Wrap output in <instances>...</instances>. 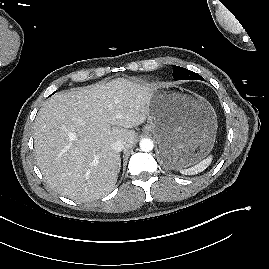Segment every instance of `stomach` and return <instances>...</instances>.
Instances as JSON below:
<instances>
[{
	"label": "stomach",
	"mask_w": 269,
	"mask_h": 269,
	"mask_svg": "<svg viewBox=\"0 0 269 269\" xmlns=\"http://www.w3.org/2000/svg\"><path fill=\"white\" fill-rule=\"evenodd\" d=\"M217 127L215 110L205 98L173 85L153 88L144 131L156 138L165 168H186L208 155Z\"/></svg>",
	"instance_id": "1"
}]
</instances>
